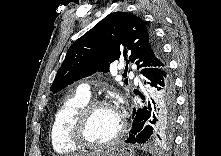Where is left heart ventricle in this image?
<instances>
[{"mask_svg":"<svg viewBox=\"0 0 221 156\" xmlns=\"http://www.w3.org/2000/svg\"><path fill=\"white\" fill-rule=\"evenodd\" d=\"M119 125V116L113 108H99L87 123L86 138L93 143L107 142L117 133Z\"/></svg>","mask_w":221,"mask_h":156,"instance_id":"1","label":"left heart ventricle"}]
</instances>
